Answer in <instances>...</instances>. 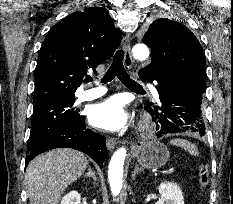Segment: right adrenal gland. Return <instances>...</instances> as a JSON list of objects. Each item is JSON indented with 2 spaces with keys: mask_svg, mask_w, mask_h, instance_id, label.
I'll return each mask as SVG.
<instances>
[{
  "mask_svg": "<svg viewBox=\"0 0 233 204\" xmlns=\"http://www.w3.org/2000/svg\"><path fill=\"white\" fill-rule=\"evenodd\" d=\"M84 177H92L95 181H97V177L91 168L88 169V172Z\"/></svg>",
  "mask_w": 233,
  "mask_h": 204,
  "instance_id": "right-adrenal-gland-1",
  "label": "right adrenal gland"
}]
</instances>
